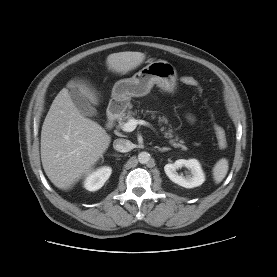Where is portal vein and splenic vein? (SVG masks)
Here are the masks:
<instances>
[{"instance_id":"portal-vein-and-splenic-vein-1","label":"portal vein and splenic vein","mask_w":277,"mask_h":277,"mask_svg":"<svg viewBox=\"0 0 277 277\" xmlns=\"http://www.w3.org/2000/svg\"><path fill=\"white\" fill-rule=\"evenodd\" d=\"M137 125H144L150 127L151 125L144 120H137L135 118H131L126 123L123 124L122 129L125 132H132L136 129Z\"/></svg>"}]
</instances>
